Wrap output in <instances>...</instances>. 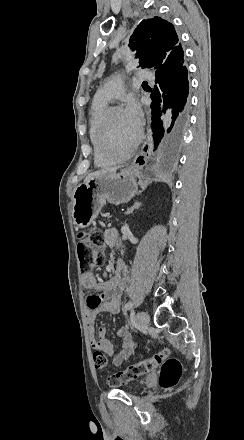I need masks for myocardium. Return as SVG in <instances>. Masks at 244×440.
Wrapping results in <instances>:
<instances>
[{
  "label": "myocardium",
  "mask_w": 244,
  "mask_h": 440,
  "mask_svg": "<svg viewBox=\"0 0 244 440\" xmlns=\"http://www.w3.org/2000/svg\"><path fill=\"white\" fill-rule=\"evenodd\" d=\"M116 110H123V108L119 105H114V106H110L108 107L103 115V122L99 125V130H101L102 132H98V140L100 141L99 143V150L102 154H116L117 150L116 149H112L110 146H106L107 142L106 139L104 137L107 136L108 133V128H105L108 124H110V118L111 115L114 111ZM127 145H130V142H127ZM126 145H121V146H116V148H120Z\"/></svg>",
  "instance_id": "f54148a6"
}]
</instances>
